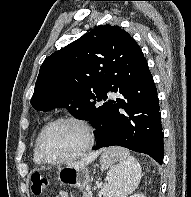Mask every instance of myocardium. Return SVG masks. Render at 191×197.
I'll return each instance as SVG.
<instances>
[{"label":"myocardium","instance_id":"myocardium-1","mask_svg":"<svg viewBox=\"0 0 191 197\" xmlns=\"http://www.w3.org/2000/svg\"><path fill=\"white\" fill-rule=\"evenodd\" d=\"M62 122H72V123L79 125L84 130L86 142H85L84 147L80 151H78L77 153H75L69 157L62 158V159H50L42 151V145H41L42 138L49 128H51L52 126H54L58 123H62ZM93 144H94V133H93V129L89 125V123L80 117L66 115V116H60V117H57V118L51 120L41 129V131L39 132V134L36 138L35 149H36V153H37L39 159L43 163L49 164V165H62V164L77 160V159L83 157L84 155H86L91 150Z\"/></svg>","mask_w":191,"mask_h":197}]
</instances>
